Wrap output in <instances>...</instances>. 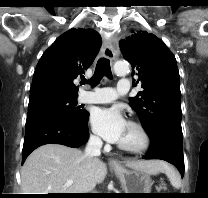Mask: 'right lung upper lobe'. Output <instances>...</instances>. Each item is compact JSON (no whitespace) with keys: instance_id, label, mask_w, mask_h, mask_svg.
I'll return each instance as SVG.
<instances>
[{"instance_id":"right-lung-upper-lobe-1","label":"right lung upper lobe","mask_w":208,"mask_h":198,"mask_svg":"<svg viewBox=\"0 0 208 198\" xmlns=\"http://www.w3.org/2000/svg\"><path fill=\"white\" fill-rule=\"evenodd\" d=\"M101 36L93 29L72 28L43 53L34 72L28 107L77 98L74 80L93 63Z\"/></svg>"}]
</instances>
